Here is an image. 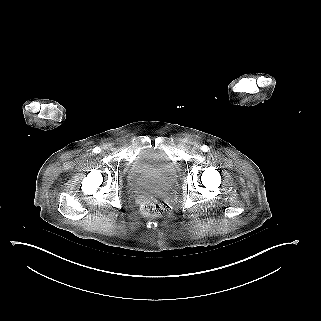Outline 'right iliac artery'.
Masks as SVG:
<instances>
[{"label": "right iliac artery", "mask_w": 321, "mask_h": 321, "mask_svg": "<svg viewBox=\"0 0 321 321\" xmlns=\"http://www.w3.org/2000/svg\"><path fill=\"white\" fill-rule=\"evenodd\" d=\"M93 151H94V153H99L101 151V148L100 147H95Z\"/></svg>", "instance_id": "1"}]
</instances>
